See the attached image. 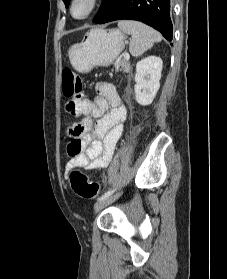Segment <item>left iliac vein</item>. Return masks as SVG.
I'll use <instances>...</instances> for the list:
<instances>
[{
    "mask_svg": "<svg viewBox=\"0 0 227 279\" xmlns=\"http://www.w3.org/2000/svg\"><path fill=\"white\" fill-rule=\"evenodd\" d=\"M120 194H116V195H111L109 197H105L101 200H99L95 206H94V210L95 211H99L100 209H102L103 207L107 206L108 204L112 203L113 201H115Z\"/></svg>",
    "mask_w": 227,
    "mask_h": 279,
    "instance_id": "obj_1",
    "label": "left iliac vein"
}]
</instances>
